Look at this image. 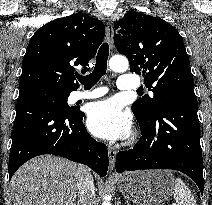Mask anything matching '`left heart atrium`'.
Returning a JSON list of instances; mask_svg holds the SVG:
<instances>
[{
  "label": "left heart atrium",
  "mask_w": 212,
  "mask_h": 205,
  "mask_svg": "<svg viewBox=\"0 0 212 205\" xmlns=\"http://www.w3.org/2000/svg\"><path fill=\"white\" fill-rule=\"evenodd\" d=\"M131 117L123 111L114 99L93 103L88 110L87 127L89 131L103 139L125 138L131 131Z\"/></svg>",
  "instance_id": "obj_1"
}]
</instances>
